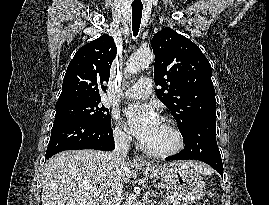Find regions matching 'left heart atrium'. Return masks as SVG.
Here are the masks:
<instances>
[{
	"label": "left heart atrium",
	"instance_id": "obj_1",
	"mask_svg": "<svg viewBox=\"0 0 269 205\" xmlns=\"http://www.w3.org/2000/svg\"><path fill=\"white\" fill-rule=\"evenodd\" d=\"M124 114L128 131L143 144L153 138L161 123L156 107L150 103L130 105Z\"/></svg>",
	"mask_w": 269,
	"mask_h": 205
}]
</instances>
